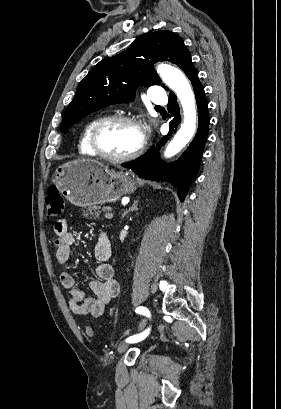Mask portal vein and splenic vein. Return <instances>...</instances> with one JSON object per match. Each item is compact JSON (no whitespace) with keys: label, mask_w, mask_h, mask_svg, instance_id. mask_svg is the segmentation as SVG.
I'll return each mask as SVG.
<instances>
[{"label":"portal vein and splenic vein","mask_w":281,"mask_h":409,"mask_svg":"<svg viewBox=\"0 0 281 409\" xmlns=\"http://www.w3.org/2000/svg\"><path fill=\"white\" fill-rule=\"evenodd\" d=\"M103 216L106 217V219H112V217H113L111 212H104Z\"/></svg>","instance_id":"obj_1"}]
</instances>
